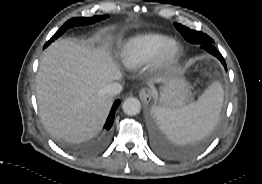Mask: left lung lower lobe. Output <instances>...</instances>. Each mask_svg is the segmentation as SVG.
I'll use <instances>...</instances> for the list:
<instances>
[{
  "mask_svg": "<svg viewBox=\"0 0 262 184\" xmlns=\"http://www.w3.org/2000/svg\"><path fill=\"white\" fill-rule=\"evenodd\" d=\"M201 48H204L210 54L216 56L225 67L227 66L223 56L216 50L212 43L201 44ZM156 117V116H155ZM150 136L153 149L161 156L168 159H188L199 154L207 144V140H194L191 142L178 144L172 143L166 138V134L163 131L157 118H151L150 121Z\"/></svg>",
  "mask_w": 262,
  "mask_h": 184,
  "instance_id": "left-lung-lower-lobe-1",
  "label": "left lung lower lobe"
}]
</instances>
